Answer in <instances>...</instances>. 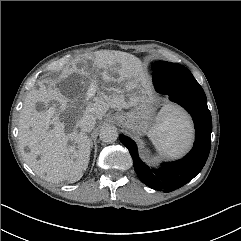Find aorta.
I'll return each mask as SVG.
<instances>
[{
  "label": "aorta",
  "instance_id": "1",
  "mask_svg": "<svg viewBox=\"0 0 241 241\" xmlns=\"http://www.w3.org/2000/svg\"><path fill=\"white\" fill-rule=\"evenodd\" d=\"M100 139L105 143H113L118 137V130L114 125L105 124L100 129Z\"/></svg>",
  "mask_w": 241,
  "mask_h": 241
}]
</instances>
